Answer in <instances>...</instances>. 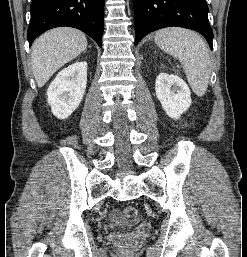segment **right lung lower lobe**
Wrapping results in <instances>:
<instances>
[{"label": "right lung lower lobe", "mask_w": 247, "mask_h": 257, "mask_svg": "<svg viewBox=\"0 0 247 257\" xmlns=\"http://www.w3.org/2000/svg\"><path fill=\"white\" fill-rule=\"evenodd\" d=\"M30 11L29 46L44 31L68 26L85 32L102 47L104 0H32Z\"/></svg>", "instance_id": "1"}]
</instances>
